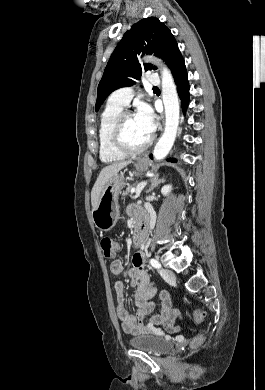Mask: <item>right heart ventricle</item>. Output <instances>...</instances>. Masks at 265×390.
<instances>
[{
  "label": "right heart ventricle",
  "mask_w": 265,
  "mask_h": 390,
  "mask_svg": "<svg viewBox=\"0 0 265 390\" xmlns=\"http://www.w3.org/2000/svg\"><path fill=\"white\" fill-rule=\"evenodd\" d=\"M123 111V107L108 103L100 117L98 130L99 157L104 163L122 161L125 155L118 152L111 140L112 128Z\"/></svg>",
  "instance_id": "obj_1"
}]
</instances>
